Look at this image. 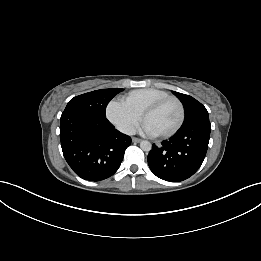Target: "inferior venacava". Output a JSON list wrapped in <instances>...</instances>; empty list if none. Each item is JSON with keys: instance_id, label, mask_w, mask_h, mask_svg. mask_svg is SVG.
I'll use <instances>...</instances> for the list:
<instances>
[{"instance_id": "602c4592", "label": "inferior vena cava", "mask_w": 261, "mask_h": 261, "mask_svg": "<svg viewBox=\"0 0 261 261\" xmlns=\"http://www.w3.org/2000/svg\"><path fill=\"white\" fill-rule=\"evenodd\" d=\"M119 131L127 135H134L136 133L133 126H121L119 127Z\"/></svg>"}]
</instances>
